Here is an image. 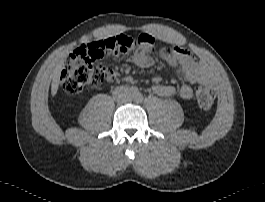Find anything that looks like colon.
<instances>
[{
    "instance_id": "obj_1",
    "label": "colon",
    "mask_w": 265,
    "mask_h": 202,
    "mask_svg": "<svg viewBox=\"0 0 265 202\" xmlns=\"http://www.w3.org/2000/svg\"><path fill=\"white\" fill-rule=\"evenodd\" d=\"M150 41L151 38L146 34L136 37L118 34L91 43L92 55L72 54L67 58L60 74L62 88L70 94H77L86 86H98L114 81L118 76L117 70L114 67L95 64L96 54L127 53L136 49H143L150 54L153 51ZM195 95L202 109L212 107L216 99V91L212 86H196Z\"/></svg>"
}]
</instances>
